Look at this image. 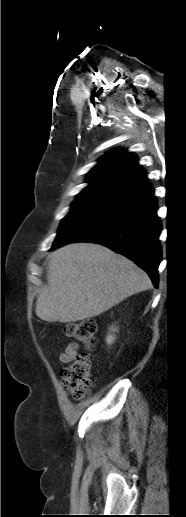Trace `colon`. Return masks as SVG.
I'll use <instances>...</instances> for the list:
<instances>
[{"instance_id":"1","label":"colon","mask_w":186,"mask_h":517,"mask_svg":"<svg viewBox=\"0 0 186 517\" xmlns=\"http://www.w3.org/2000/svg\"><path fill=\"white\" fill-rule=\"evenodd\" d=\"M65 334L81 342L86 348L94 346L97 324L94 320L69 322ZM60 379L68 393L77 400L84 399L92 386V361L88 353L76 354L60 371Z\"/></svg>"}]
</instances>
